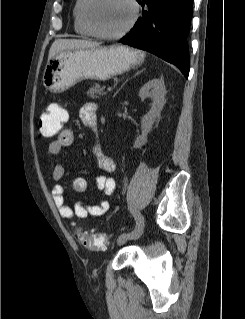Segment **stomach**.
Instances as JSON below:
<instances>
[{"label": "stomach", "mask_w": 245, "mask_h": 319, "mask_svg": "<svg viewBox=\"0 0 245 319\" xmlns=\"http://www.w3.org/2000/svg\"><path fill=\"white\" fill-rule=\"evenodd\" d=\"M145 54L126 46L64 50L48 60L43 85L62 93L83 79L106 80L140 64Z\"/></svg>", "instance_id": "0dacf381"}]
</instances>
